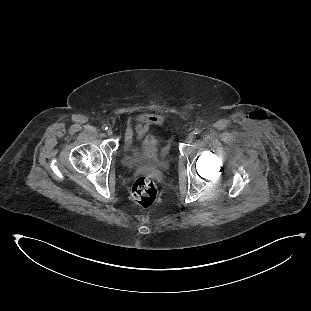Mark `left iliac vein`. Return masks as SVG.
<instances>
[{
    "label": "left iliac vein",
    "instance_id": "1",
    "mask_svg": "<svg viewBox=\"0 0 311 311\" xmlns=\"http://www.w3.org/2000/svg\"><path fill=\"white\" fill-rule=\"evenodd\" d=\"M194 137H195L194 133L191 132V133L188 134L187 138H188V140L192 141L194 139Z\"/></svg>",
    "mask_w": 311,
    "mask_h": 311
}]
</instances>
